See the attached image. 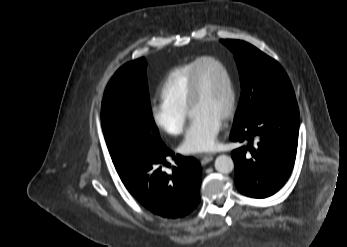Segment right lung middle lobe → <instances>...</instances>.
Returning <instances> with one entry per match:
<instances>
[{
	"mask_svg": "<svg viewBox=\"0 0 347 247\" xmlns=\"http://www.w3.org/2000/svg\"><path fill=\"white\" fill-rule=\"evenodd\" d=\"M145 70L144 58L126 63L105 89L101 123L112 158L128 145L154 152L164 145L152 117Z\"/></svg>",
	"mask_w": 347,
	"mask_h": 247,
	"instance_id": "right-lung-middle-lobe-1",
	"label": "right lung middle lobe"
}]
</instances>
